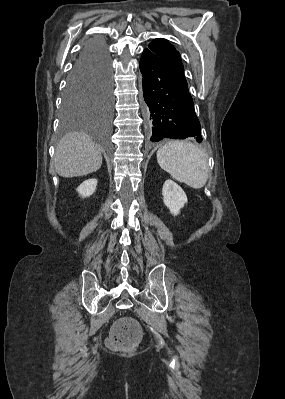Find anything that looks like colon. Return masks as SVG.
<instances>
[{
	"label": "colon",
	"mask_w": 285,
	"mask_h": 399,
	"mask_svg": "<svg viewBox=\"0 0 285 399\" xmlns=\"http://www.w3.org/2000/svg\"><path fill=\"white\" fill-rule=\"evenodd\" d=\"M143 336L139 324L131 320L117 322L109 337V346L113 349H134Z\"/></svg>",
	"instance_id": "colon-1"
}]
</instances>
